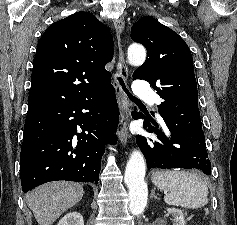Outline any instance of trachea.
Here are the masks:
<instances>
[{
  "instance_id": "1",
  "label": "trachea",
  "mask_w": 237,
  "mask_h": 225,
  "mask_svg": "<svg viewBox=\"0 0 237 225\" xmlns=\"http://www.w3.org/2000/svg\"><path fill=\"white\" fill-rule=\"evenodd\" d=\"M118 80H119V82H120V84H121L123 90H124V91L126 92V94L128 95V97H129L131 100H134V101L140 103V101L137 100V99L127 90V88L125 87V84H124L123 79H122L121 77H118Z\"/></svg>"
}]
</instances>
